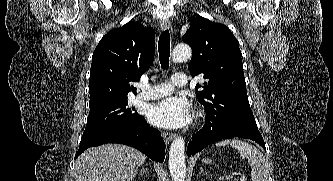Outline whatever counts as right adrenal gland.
<instances>
[{
	"mask_svg": "<svg viewBox=\"0 0 333 181\" xmlns=\"http://www.w3.org/2000/svg\"><path fill=\"white\" fill-rule=\"evenodd\" d=\"M146 171H148V170H147V169H144V168H141V169H140V174L143 176V174H144Z\"/></svg>",
	"mask_w": 333,
	"mask_h": 181,
	"instance_id": "right-adrenal-gland-1",
	"label": "right adrenal gland"
}]
</instances>
